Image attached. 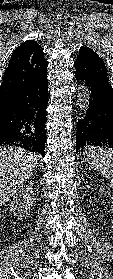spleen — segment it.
I'll list each match as a JSON object with an SVG mask.
<instances>
[{"label":"spleen","instance_id":"1","mask_svg":"<svg viewBox=\"0 0 113 279\" xmlns=\"http://www.w3.org/2000/svg\"><path fill=\"white\" fill-rule=\"evenodd\" d=\"M84 161L89 169L102 173L113 188V150L90 146L85 150Z\"/></svg>","mask_w":113,"mask_h":279}]
</instances>
